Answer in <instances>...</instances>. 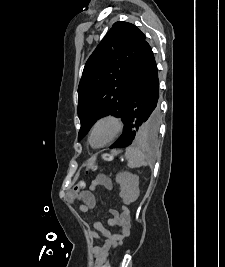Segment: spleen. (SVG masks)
<instances>
[{
    "label": "spleen",
    "mask_w": 225,
    "mask_h": 267,
    "mask_svg": "<svg viewBox=\"0 0 225 267\" xmlns=\"http://www.w3.org/2000/svg\"><path fill=\"white\" fill-rule=\"evenodd\" d=\"M125 157L128 160V167L129 168H139L141 166L150 165L146 161L145 154L138 148L135 147H128L125 152Z\"/></svg>",
    "instance_id": "obj_1"
}]
</instances>
